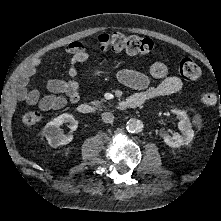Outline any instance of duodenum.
Returning <instances> with one entry per match:
<instances>
[{
    "instance_id": "obj_1",
    "label": "duodenum",
    "mask_w": 221,
    "mask_h": 221,
    "mask_svg": "<svg viewBox=\"0 0 221 221\" xmlns=\"http://www.w3.org/2000/svg\"><path fill=\"white\" fill-rule=\"evenodd\" d=\"M143 103H145V99L142 96L132 95L121 100L118 103V109L125 110V109L135 108L142 105ZM77 109L78 112L84 115L91 114L93 112L92 106L88 103H81Z\"/></svg>"
}]
</instances>
